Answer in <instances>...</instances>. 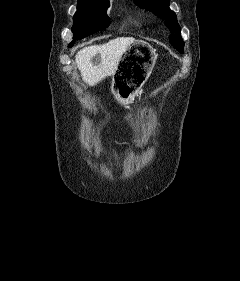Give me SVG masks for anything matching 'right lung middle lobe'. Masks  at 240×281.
I'll use <instances>...</instances> for the list:
<instances>
[{
  "label": "right lung middle lobe",
  "instance_id": "dd1d6c3e",
  "mask_svg": "<svg viewBox=\"0 0 240 281\" xmlns=\"http://www.w3.org/2000/svg\"><path fill=\"white\" fill-rule=\"evenodd\" d=\"M109 6V0H78L77 12L73 17L72 43L108 27L110 19L106 11Z\"/></svg>",
  "mask_w": 240,
  "mask_h": 281
}]
</instances>
